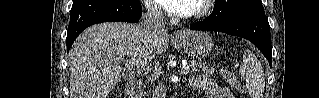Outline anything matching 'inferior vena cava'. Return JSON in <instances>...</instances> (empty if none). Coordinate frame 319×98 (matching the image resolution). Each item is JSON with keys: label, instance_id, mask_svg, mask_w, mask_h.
Instances as JSON below:
<instances>
[{"label": "inferior vena cava", "instance_id": "602c4592", "mask_svg": "<svg viewBox=\"0 0 319 98\" xmlns=\"http://www.w3.org/2000/svg\"><path fill=\"white\" fill-rule=\"evenodd\" d=\"M146 12L142 16L141 25L143 31L152 36L155 39H160L163 36L167 35L164 23V16L160 7L156 4L148 1H145ZM159 69H155L151 75L152 81H156L157 85L155 86L153 92V98H165L166 90L159 80Z\"/></svg>", "mask_w": 319, "mask_h": 98}]
</instances>
